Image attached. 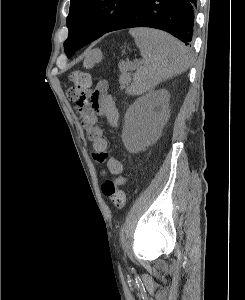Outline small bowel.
<instances>
[{"label": "small bowel", "mask_w": 245, "mask_h": 300, "mask_svg": "<svg viewBox=\"0 0 245 300\" xmlns=\"http://www.w3.org/2000/svg\"><path fill=\"white\" fill-rule=\"evenodd\" d=\"M75 110L92 143L94 158L99 162H105L110 174L115 176L122 174V163L107 154L109 144L99 123V119H102L114 128L119 125V111L109 93L108 83L100 81L94 90L81 95L75 102Z\"/></svg>", "instance_id": "small-bowel-1"}]
</instances>
